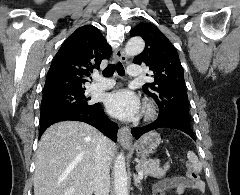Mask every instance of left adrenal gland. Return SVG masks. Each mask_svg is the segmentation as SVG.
Listing matches in <instances>:
<instances>
[{
  "instance_id": "obj_1",
  "label": "left adrenal gland",
  "mask_w": 240,
  "mask_h": 195,
  "mask_svg": "<svg viewBox=\"0 0 240 195\" xmlns=\"http://www.w3.org/2000/svg\"><path fill=\"white\" fill-rule=\"evenodd\" d=\"M134 183H135L136 187H138V189H140V191H142V187H141V185H139L138 181H136V177H134Z\"/></svg>"
}]
</instances>
